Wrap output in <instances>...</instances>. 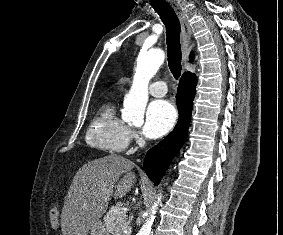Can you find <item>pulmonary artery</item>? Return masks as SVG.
I'll list each match as a JSON object with an SVG mask.
<instances>
[{"instance_id":"1","label":"pulmonary artery","mask_w":283,"mask_h":235,"mask_svg":"<svg viewBox=\"0 0 283 235\" xmlns=\"http://www.w3.org/2000/svg\"><path fill=\"white\" fill-rule=\"evenodd\" d=\"M148 91L154 97H163L167 93V86L164 81H155L150 84Z\"/></svg>"}]
</instances>
